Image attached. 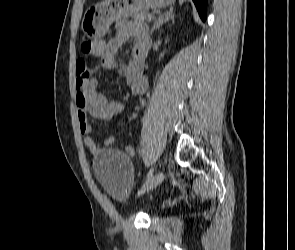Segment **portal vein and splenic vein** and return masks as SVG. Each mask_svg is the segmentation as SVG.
<instances>
[{"mask_svg": "<svg viewBox=\"0 0 295 250\" xmlns=\"http://www.w3.org/2000/svg\"><path fill=\"white\" fill-rule=\"evenodd\" d=\"M155 19V16H149L148 17V22H151V21H153Z\"/></svg>", "mask_w": 295, "mask_h": 250, "instance_id": "obj_1", "label": "portal vein and splenic vein"}]
</instances>
